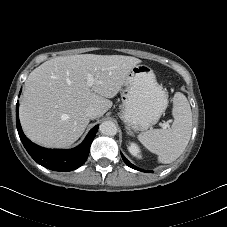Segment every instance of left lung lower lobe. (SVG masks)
<instances>
[{
	"mask_svg": "<svg viewBox=\"0 0 227 227\" xmlns=\"http://www.w3.org/2000/svg\"><path fill=\"white\" fill-rule=\"evenodd\" d=\"M124 162L126 163V165H128L129 167L133 168V169H136V170H139V171H143L141 169H139L138 167L134 166L133 164H131L124 156L123 154H121ZM144 172H150V171H144Z\"/></svg>",
	"mask_w": 227,
	"mask_h": 227,
	"instance_id": "obj_1",
	"label": "left lung lower lobe"
}]
</instances>
